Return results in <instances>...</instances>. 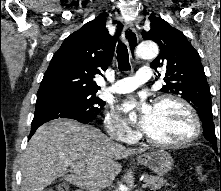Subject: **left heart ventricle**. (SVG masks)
<instances>
[{"label": "left heart ventricle", "instance_id": "1", "mask_svg": "<svg viewBox=\"0 0 221 191\" xmlns=\"http://www.w3.org/2000/svg\"><path fill=\"white\" fill-rule=\"evenodd\" d=\"M192 129V120L188 112L179 104L166 101L154 106L146 133L155 140L177 142L187 138Z\"/></svg>", "mask_w": 221, "mask_h": 191}]
</instances>
